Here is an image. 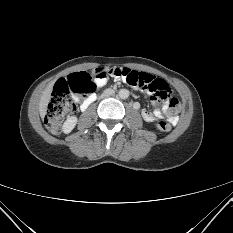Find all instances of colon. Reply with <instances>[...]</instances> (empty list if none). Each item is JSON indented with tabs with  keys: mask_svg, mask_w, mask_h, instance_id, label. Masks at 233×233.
Returning a JSON list of instances; mask_svg holds the SVG:
<instances>
[{
	"mask_svg": "<svg viewBox=\"0 0 233 233\" xmlns=\"http://www.w3.org/2000/svg\"><path fill=\"white\" fill-rule=\"evenodd\" d=\"M95 76H112L122 79L132 87L149 91L155 99L167 101L170 115H175L180 110V104L177 99L171 96L170 88L166 82L149 74L128 68H98L95 70ZM95 87L96 84L92 77L85 72L73 73L66 79L59 80L54 86L44 118L48 131L55 135L60 134L65 115L75 111L72 95L85 96L93 92ZM157 128L168 132L172 126L170 123L160 121L157 123Z\"/></svg>",
	"mask_w": 233,
	"mask_h": 233,
	"instance_id": "obj_1",
	"label": "colon"
}]
</instances>
